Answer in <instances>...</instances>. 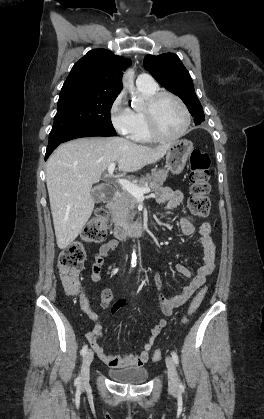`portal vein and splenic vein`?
<instances>
[{"mask_svg":"<svg viewBox=\"0 0 264 419\" xmlns=\"http://www.w3.org/2000/svg\"><path fill=\"white\" fill-rule=\"evenodd\" d=\"M115 163H111L108 166V173L109 175H113L115 170ZM118 183L122 186L123 189L127 190L130 194H132L136 198H143L144 194L150 193V188L148 187H139L136 184L126 180V179H118Z\"/></svg>","mask_w":264,"mask_h":419,"instance_id":"obj_1","label":"portal vein and splenic vein"}]
</instances>
